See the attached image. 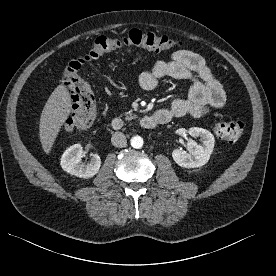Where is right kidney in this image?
<instances>
[{"label":"right kidney","instance_id":"ca27d5eb","mask_svg":"<svg viewBox=\"0 0 276 276\" xmlns=\"http://www.w3.org/2000/svg\"><path fill=\"white\" fill-rule=\"evenodd\" d=\"M82 146L74 144L65 150L61 157V167L64 171L71 175L81 178L93 177L101 166V159L98 154H91V159L88 163H83Z\"/></svg>","mask_w":276,"mask_h":276}]
</instances>
